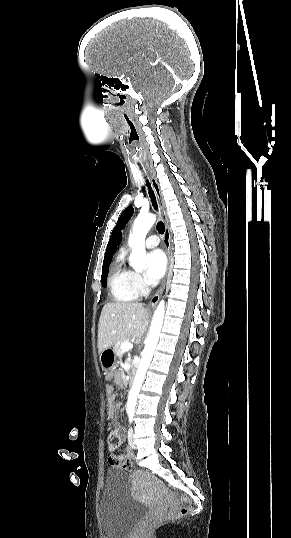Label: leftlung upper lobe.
<instances>
[{
  "mask_svg": "<svg viewBox=\"0 0 291 538\" xmlns=\"http://www.w3.org/2000/svg\"><path fill=\"white\" fill-rule=\"evenodd\" d=\"M133 214V208L130 206L124 210V212L121 214L120 218L117 221L116 227H124V225L128 222L130 217Z\"/></svg>",
  "mask_w": 291,
  "mask_h": 538,
  "instance_id": "1",
  "label": "left lung upper lobe"
}]
</instances>
